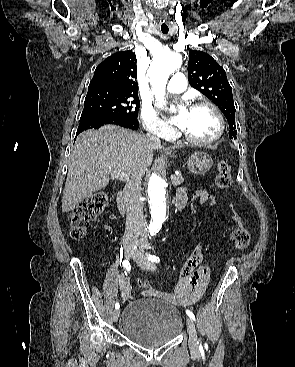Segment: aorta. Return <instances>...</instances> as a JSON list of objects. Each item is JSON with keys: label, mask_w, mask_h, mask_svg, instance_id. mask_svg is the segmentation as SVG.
Here are the masks:
<instances>
[{"label": "aorta", "mask_w": 295, "mask_h": 367, "mask_svg": "<svg viewBox=\"0 0 295 367\" xmlns=\"http://www.w3.org/2000/svg\"><path fill=\"white\" fill-rule=\"evenodd\" d=\"M182 57L175 52H163L153 59L148 74L153 89L158 93L160 105L165 104L163 91L169 76L181 66ZM147 195L150 204L151 221L149 223L150 235L159 232L166 219L167 193L165 181L161 175L153 171L148 180Z\"/></svg>", "instance_id": "aorta-1"}]
</instances>
